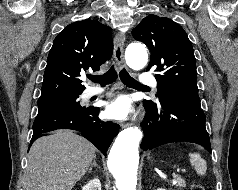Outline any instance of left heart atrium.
<instances>
[{
  "label": "left heart atrium",
  "instance_id": "39dd6f15",
  "mask_svg": "<svg viewBox=\"0 0 238 190\" xmlns=\"http://www.w3.org/2000/svg\"><path fill=\"white\" fill-rule=\"evenodd\" d=\"M134 112L131 99L127 95H119L107 102L105 115L110 119L125 120Z\"/></svg>",
  "mask_w": 238,
  "mask_h": 190
}]
</instances>
